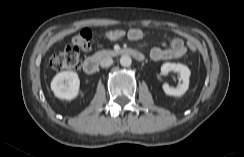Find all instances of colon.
<instances>
[{
  "label": "colon",
  "mask_w": 244,
  "mask_h": 157,
  "mask_svg": "<svg viewBox=\"0 0 244 157\" xmlns=\"http://www.w3.org/2000/svg\"><path fill=\"white\" fill-rule=\"evenodd\" d=\"M127 36L123 29H113L105 32V37L111 41H117ZM92 32L89 29L79 31L62 51L54 53L50 57V65L55 70H74L80 65V50L90 48ZM190 51L195 50L193 44L188 45Z\"/></svg>",
  "instance_id": "1"
}]
</instances>
